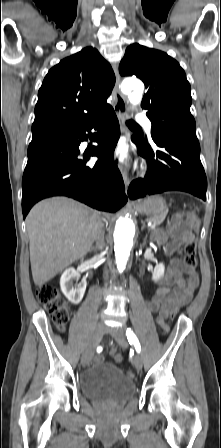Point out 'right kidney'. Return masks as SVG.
I'll return each mask as SVG.
<instances>
[{
  "label": "right kidney",
  "instance_id": "1",
  "mask_svg": "<svg viewBox=\"0 0 221 448\" xmlns=\"http://www.w3.org/2000/svg\"><path fill=\"white\" fill-rule=\"evenodd\" d=\"M80 273L73 267L66 269L60 278L62 293L72 304H79L86 290V280H82L77 288H74L73 280H78Z\"/></svg>",
  "mask_w": 221,
  "mask_h": 448
}]
</instances>
